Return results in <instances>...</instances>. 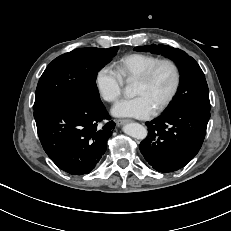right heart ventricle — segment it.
Instances as JSON below:
<instances>
[{"instance_id": "right-heart-ventricle-1", "label": "right heart ventricle", "mask_w": 231, "mask_h": 231, "mask_svg": "<svg viewBox=\"0 0 231 231\" xmlns=\"http://www.w3.org/2000/svg\"><path fill=\"white\" fill-rule=\"evenodd\" d=\"M160 58L147 53H131L121 57L114 64L115 69L125 80L136 79Z\"/></svg>"}]
</instances>
